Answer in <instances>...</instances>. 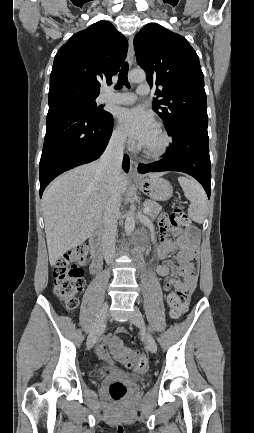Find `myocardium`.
Masks as SVG:
<instances>
[{
	"mask_svg": "<svg viewBox=\"0 0 254 433\" xmlns=\"http://www.w3.org/2000/svg\"><path fill=\"white\" fill-rule=\"evenodd\" d=\"M155 128L162 138V144L156 149H149V148L142 146V152L148 158L157 159V158H160L167 153V151L169 150V148L172 144V138L169 135V133L166 131V129L160 123H157L155 125Z\"/></svg>",
	"mask_w": 254,
	"mask_h": 433,
	"instance_id": "1",
	"label": "myocardium"
}]
</instances>
